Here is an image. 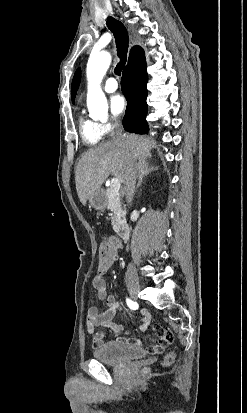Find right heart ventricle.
<instances>
[{"label": "right heart ventricle", "instance_id": "1", "mask_svg": "<svg viewBox=\"0 0 247 413\" xmlns=\"http://www.w3.org/2000/svg\"><path fill=\"white\" fill-rule=\"evenodd\" d=\"M80 134L83 141L87 145H97L98 141H100L103 136L98 127L89 122H84L81 124Z\"/></svg>", "mask_w": 247, "mask_h": 413}]
</instances>
